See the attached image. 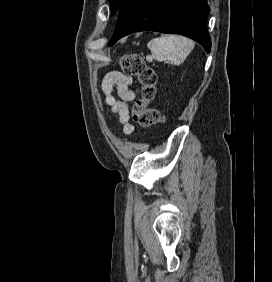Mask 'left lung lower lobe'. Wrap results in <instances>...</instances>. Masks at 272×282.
<instances>
[{
  "label": "left lung lower lobe",
  "instance_id": "obj_1",
  "mask_svg": "<svg viewBox=\"0 0 272 282\" xmlns=\"http://www.w3.org/2000/svg\"><path fill=\"white\" fill-rule=\"evenodd\" d=\"M209 12L206 0H125L109 46L130 33L151 30L187 36L210 52Z\"/></svg>",
  "mask_w": 272,
  "mask_h": 282
}]
</instances>
